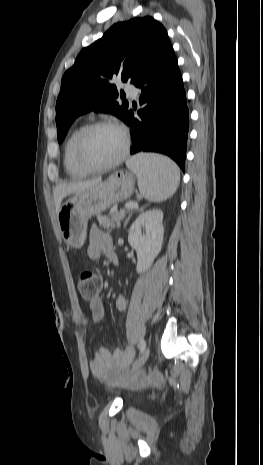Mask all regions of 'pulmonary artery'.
Here are the masks:
<instances>
[{"label": "pulmonary artery", "instance_id": "1", "mask_svg": "<svg viewBox=\"0 0 263 465\" xmlns=\"http://www.w3.org/2000/svg\"><path fill=\"white\" fill-rule=\"evenodd\" d=\"M125 91L131 98H136L138 96V90L134 86H127Z\"/></svg>", "mask_w": 263, "mask_h": 465}]
</instances>
